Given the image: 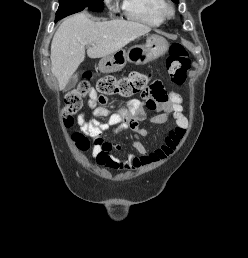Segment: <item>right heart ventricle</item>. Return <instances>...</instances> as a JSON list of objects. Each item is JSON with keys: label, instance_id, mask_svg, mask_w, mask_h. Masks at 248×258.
I'll return each mask as SVG.
<instances>
[{"label": "right heart ventricle", "instance_id": "e07e8e85", "mask_svg": "<svg viewBox=\"0 0 248 258\" xmlns=\"http://www.w3.org/2000/svg\"><path fill=\"white\" fill-rule=\"evenodd\" d=\"M161 5L162 0H123L122 8L126 17L132 21L159 26L165 20Z\"/></svg>", "mask_w": 248, "mask_h": 258}]
</instances>
